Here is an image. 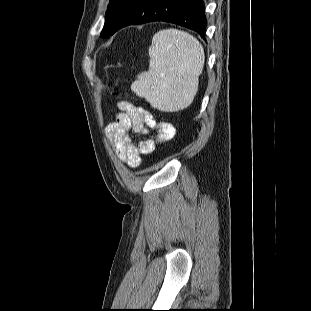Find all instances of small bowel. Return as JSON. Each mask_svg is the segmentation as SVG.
Segmentation results:
<instances>
[{"mask_svg": "<svg viewBox=\"0 0 311 311\" xmlns=\"http://www.w3.org/2000/svg\"><path fill=\"white\" fill-rule=\"evenodd\" d=\"M120 112L114 122L107 126L106 133L111 141L117 157L132 168L141 163V155L149 154L160 141L172 138L174 129L170 124H160L145 109L129 102L118 103ZM152 129H159L156 138L142 139L138 145L132 141L131 135H145Z\"/></svg>", "mask_w": 311, "mask_h": 311, "instance_id": "1", "label": "small bowel"}]
</instances>
